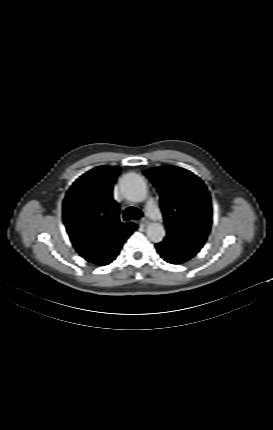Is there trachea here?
I'll use <instances>...</instances> for the list:
<instances>
[{
    "mask_svg": "<svg viewBox=\"0 0 273 430\" xmlns=\"http://www.w3.org/2000/svg\"><path fill=\"white\" fill-rule=\"evenodd\" d=\"M124 220H138L142 217V212L135 208V207H129L124 211Z\"/></svg>",
    "mask_w": 273,
    "mask_h": 430,
    "instance_id": "obj_1",
    "label": "trachea"
}]
</instances>
